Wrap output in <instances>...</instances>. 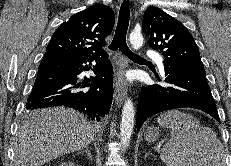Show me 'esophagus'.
Wrapping results in <instances>:
<instances>
[{
  "label": "esophagus",
  "mask_w": 231,
  "mask_h": 166,
  "mask_svg": "<svg viewBox=\"0 0 231 166\" xmlns=\"http://www.w3.org/2000/svg\"><path fill=\"white\" fill-rule=\"evenodd\" d=\"M126 64L123 62V60L119 61V71L117 72V76L115 79V99H116V103L118 105V107H121L126 94H127V86H126V82L124 79V68H125Z\"/></svg>",
  "instance_id": "1"
}]
</instances>
